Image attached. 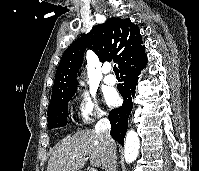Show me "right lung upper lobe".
I'll list each match as a JSON object with an SVG mask.
<instances>
[{"mask_svg": "<svg viewBox=\"0 0 199 171\" xmlns=\"http://www.w3.org/2000/svg\"><path fill=\"white\" fill-rule=\"evenodd\" d=\"M86 48L93 49L101 62L114 59L121 70L144 57L145 46L137 25L128 18H110L73 42L62 55L56 71L50 105L75 94L76 75Z\"/></svg>", "mask_w": 199, "mask_h": 171, "instance_id": "cb5924a9", "label": "right lung upper lobe"}]
</instances>
